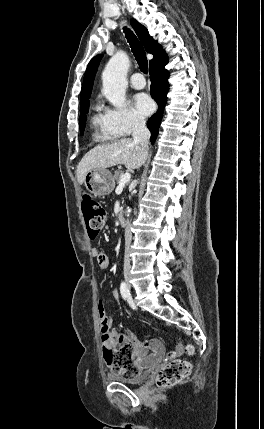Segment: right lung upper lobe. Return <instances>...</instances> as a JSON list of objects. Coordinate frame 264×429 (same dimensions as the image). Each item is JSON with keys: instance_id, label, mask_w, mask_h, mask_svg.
Returning a JSON list of instances; mask_svg holds the SVG:
<instances>
[{"instance_id": "cb5924a9", "label": "right lung upper lobe", "mask_w": 264, "mask_h": 429, "mask_svg": "<svg viewBox=\"0 0 264 429\" xmlns=\"http://www.w3.org/2000/svg\"><path fill=\"white\" fill-rule=\"evenodd\" d=\"M131 25L135 30L138 38L142 42L145 47V50L148 53L153 54V59L150 61L149 65H151L155 60H157L165 51L162 49L161 45H159L153 38L149 35L148 30L141 25L135 19H131ZM102 54L94 57L87 66V70L84 75L82 89H81V101L80 106L89 104V98L91 95V90L93 87V80L102 58Z\"/></svg>"}]
</instances>
